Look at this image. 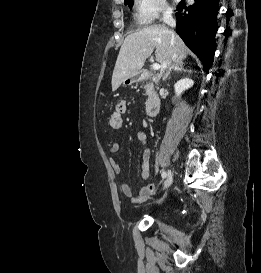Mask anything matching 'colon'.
Returning a JSON list of instances; mask_svg holds the SVG:
<instances>
[{
    "instance_id": "1",
    "label": "colon",
    "mask_w": 261,
    "mask_h": 273,
    "mask_svg": "<svg viewBox=\"0 0 261 273\" xmlns=\"http://www.w3.org/2000/svg\"><path fill=\"white\" fill-rule=\"evenodd\" d=\"M108 124L113 129H118L122 125V118L120 113H112L109 117Z\"/></svg>"
}]
</instances>
